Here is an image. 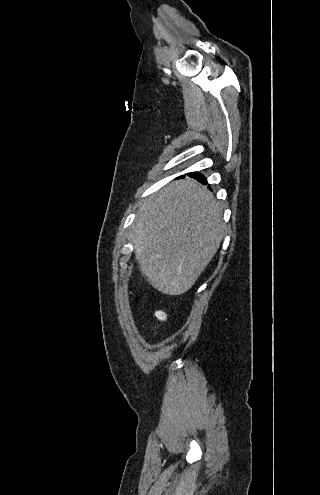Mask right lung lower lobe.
Wrapping results in <instances>:
<instances>
[{
    "mask_svg": "<svg viewBox=\"0 0 320 495\" xmlns=\"http://www.w3.org/2000/svg\"><path fill=\"white\" fill-rule=\"evenodd\" d=\"M188 175L190 177H193V178L197 179L198 181H200L203 184H206L207 183L206 178L202 174H200V173L192 172V173H189Z\"/></svg>",
    "mask_w": 320,
    "mask_h": 495,
    "instance_id": "98d812e1",
    "label": "right lung lower lobe"
}]
</instances>
